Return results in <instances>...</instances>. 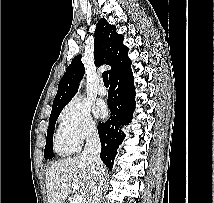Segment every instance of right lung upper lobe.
Returning <instances> with one entry per match:
<instances>
[{
	"instance_id": "1",
	"label": "right lung upper lobe",
	"mask_w": 214,
	"mask_h": 203,
	"mask_svg": "<svg viewBox=\"0 0 214 203\" xmlns=\"http://www.w3.org/2000/svg\"><path fill=\"white\" fill-rule=\"evenodd\" d=\"M124 36L116 32V27L106 19L98 21L95 30L94 59L95 65L108 64L110 79L130 68L128 48L123 45ZM82 55L74 57L58 85V91L53 101L51 114L62 110L78 91L79 82L84 75Z\"/></svg>"
}]
</instances>
